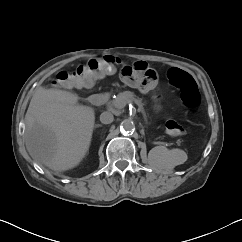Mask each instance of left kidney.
Instances as JSON below:
<instances>
[{
	"label": "left kidney",
	"mask_w": 242,
	"mask_h": 242,
	"mask_svg": "<svg viewBox=\"0 0 242 242\" xmlns=\"http://www.w3.org/2000/svg\"><path fill=\"white\" fill-rule=\"evenodd\" d=\"M164 150H166L165 147L157 146L150 151V155H153L155 157V159H158L159 156L161 155V152L164 151ZM175 151H176V154H177V160H176L175 164H173L171 167H174L175 165L182 164L187 159V155L184 151H182V150H175Z\"/></svg>",
	"instance_id": "1"
}]
</instances>
